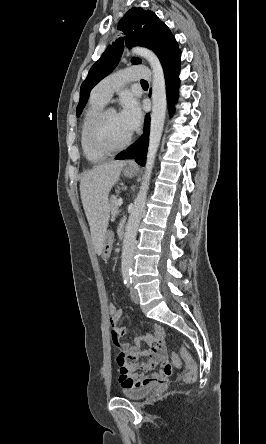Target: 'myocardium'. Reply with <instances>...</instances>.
I'll list each match as a JSON object with an SVG mask.
<instances>
[{
    "mask_svg": "<svg viewBox=\"0 0 266 444\" xmlns=\"http://www.w3.org/2000/svg\"><path fill=\"white\" fill-rule=\"evenodd\" d=\"M109 113H117V111L111 107L103 108L100 112H98L96 114V116L92 119V121L90 122V124L88 126L87 143L92 150L99 152V153L112 154V153L119 152V151L125 149L126 147H128L133 139V134L131 133L128 136V138L122 144H120L118 146H106V145H102V144L98 143V141L96 139L97 130H98L100 124L102 123V121L105 119V117Z\"/></svg>",
    "mask_w": 266,
    "mask_h": 444,
    "instance_id": "1",
    "label": "myocardium"
}]
</instances>
